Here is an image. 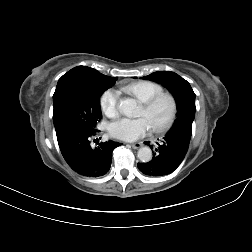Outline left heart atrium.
Wrapping results in <instances>:
<instances>
[{"instance_id": "left-heart-atrium-1", "label": "left heart atrium", "mask_w": 252, "mask_h": 252, "mask_svg": "<svg viewBox=\"0 0 252 252\" xmlns=\"http://www.w3.org/2000/svg\"><path fill=\"white\" fill-rule=\"evenodd\" d=\"M149 125L144 117L121 118L109 127L110 134L124 141H134L146 134Z\"/></svg>"}]
</instances>
